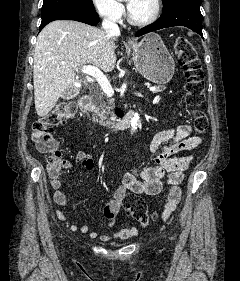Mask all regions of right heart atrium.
<instances>
[{"label": "right heart atrium", "mask_w": 240, "mask_h": 281, "mask_svg": "<svg viewBox=\"0 0 240 281\" xmlns=\"http://www.w3.org/2000/svg\"><path fill=\"white\" fill-rule=\"evenodd\" d=\"M92 5L103 19L112 23L119 22L125 13L119 0H92Z\"/></svg>", "instance_id": "obj_1"}]
</instances>
